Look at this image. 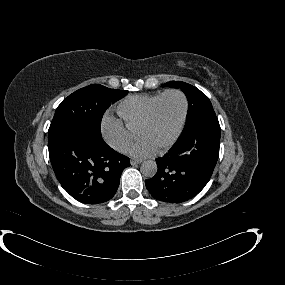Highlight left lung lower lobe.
I'll return each mask as SVG.
<instances>
[{
  "instance_id": "left-lung-lower-lobe-1",
  "label": "left lung lower lobe",
  "mask_w": 285,
  "mask_h": 285,
  "mask_svg": "<svg viewBox=\"0 0 285 285\" xmlns=\"http://www.w3.org/2000/svg\"><path fill=\"white\" fill-rule=\"evenodd\" d=\"M220 125L207 118L181 135L167 154L158 158L156 175L145 180L153 198L169 203L185 202L208 183L219 156Z\"/></svg>"
}]
</instances>
